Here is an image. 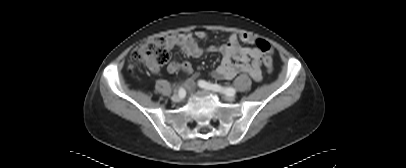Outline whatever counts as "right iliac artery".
<instances>
[{"label": "right iliac artery", "mask_w": 406, "mask_h": 168, "mask_svg": "<svg viewBox=\"0 0 406 168\" xmlns=\"http://www.w3.org/2000/svg\"><path fill=\"white\" fill-rule=\"evenodd\" d=\"M184 93H185V90H184L183 88H180V89H179V95H180V96H183Z\"/></svg>", "instance_id": "right-iliac-artery-1"}]
</instances>
